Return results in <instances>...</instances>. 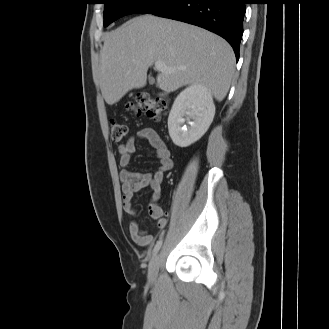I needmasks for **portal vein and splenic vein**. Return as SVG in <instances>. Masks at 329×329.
<instances>
[{
  "label": "portal vein and splenic vein",
  "mask_w": 329,
  "mask_h": 329,
  "mask_svg": "<svg viewBox=\"0 0 329 329\" xmlns=\"http://www.w3.org/2000/svg\"><path fill=\"white\" fill-rule=\"evenodd\" d=\"M155 68L162 72H172L173 69L167 67L162 61H156L155 62Z\"/></svg>",
  "instance_id": "portal-vein-and-splenic-vein-1"
}]
</instances>
